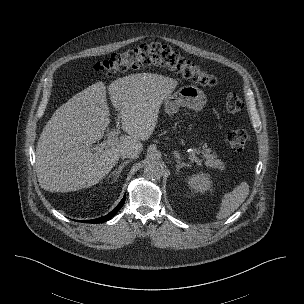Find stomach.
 I'll return each instance as SVG.
<instances>
[{
  "mask_svg": "<svg viewBox=\"0 0 304 304\" xmlns=\"http://www.w3.org/2000/svg\"><path fill=\"white\" fill-rule=\"evenodd\" d=\"M206 101V95L201 89L188 85L167 96L164 100V109L168 115L176 114L181 106L199 111L204 107Z\"/></svg>",
  "mask_w": 304,
  "mask_h": 304,
  "instance_id": "obj_1",
  "label": "stomach"
}]
</instances>
